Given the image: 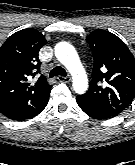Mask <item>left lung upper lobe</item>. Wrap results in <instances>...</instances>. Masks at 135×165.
<instances>
[{"label": "left lung upper lobe", "mask_w": 135, "mask_h": 165, "mask_svg": "<svg viewBox=\"0 0 135 165\" xmlns=\"http://www.w3.org/2000/svg\"><path fill=\"white\" fill-rule=\"evenodd\" d=\"M87 41L94 67L89 90L77 97L117 116L135 97V58L116 35L96 30Z\"/></svg>", "instance_id": "1"}]
</instances>
